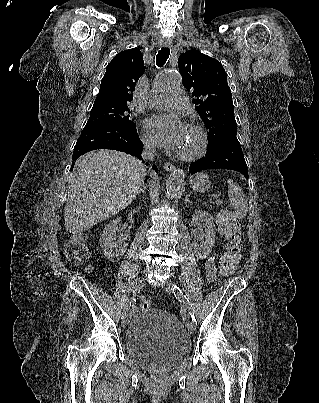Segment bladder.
<instances>
[{"label": "bladder", "mask_w": 319, "mask_h": 403, "mask_svg": "<svg viewBox=\"0 0 319 403\" xmlns=\"http://www.w3.org/2000/svg\"><path fill=\"white\" fill-rule=\"evenodd\" d=\"M124 340L128 356L139 366L154 372L175 368L191 351L190 337L180 321L161 310L139 311Z\"/></svg>", "instance_id": "bladder-1"}]
</instances>
